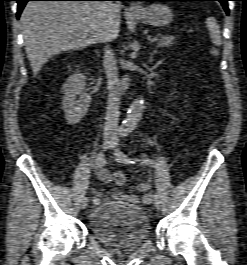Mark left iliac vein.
<instances>
[{
	"mask_svg": "<svg viewBox=\"0 0 247 265\" xmlns=\"http://www.w3.org/2000/svg\"><path fill=\"white\" fill-rule=\"evenodd\" d=\"M112 147H116L115 144H113ZM154 205H155V207L157 209H160L161 200H160V195L159 194H155V196H154Z\"/></svg>",
	"mask_w": 247,
	"mask_h": 265,
	"instance_id": "left-iliac-vein-1",
	"label": "left iliac vein"
}]
</instances>
